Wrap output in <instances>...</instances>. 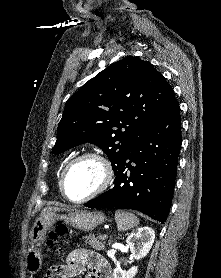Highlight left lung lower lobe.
<instances>
[{
  "label": "left lung lower lobe",
  "instance_id": "obj_1",
  "mask_svg": "<svg viewBox=\"0 0 221 278\" xmlns=\"http://www.w3.org/2000/svg\"><path fill=\"white\" fill-rule=\"evenodd\" d=\"M180 147L181 116L176 101L126 149L113 169L114 186L84 206L133 209L165 222L172 202Z\"/></svg>",
  "mask_w": 221,
  "mask_h": 278
}]
</instances>
